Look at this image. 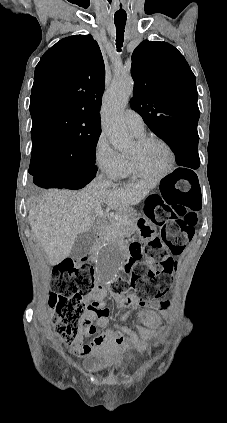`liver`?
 <instances>
[{"label":"liver","instance_id":"1","mask_svg":"<svg viewBox=\"0 0 227 423\" xmlns=\"http://www.w3.org/2000/svg\"><path fill=\"white\" fill-rule=\"evenodd\" d=\"M153 188L152 182H136L125 188H117L116 184L104 188L101 182H91L79 192L47 190L38 196L36 204H31L28 213L31 231L44 247L51 265H56L70 255L78 235L95 227L96 208L125 210L142 202Z\"/></svg>","mask_w":227,"mask_h":423}]
</instances>
